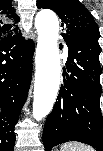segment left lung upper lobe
I'll return each instance as SVG.
<instances>
[{
    "mask_svg": "<svg viewBox=\"0 0 103 151\" xmlns=\"http://www.w3.org/2000/svg\"><path fill=\"white\" fill-rule=\"evenodd\" d=\"M37 7L55 11L62 21L64 33L75 38L98 40L99 27L93 16L77 0H37Z\"/></svg>",
    "mask_w": 103,
    "mask_h": 151,
    "instance_id": "obj_1",
    "label": "left lung upper lobe"
}]
</instances>
